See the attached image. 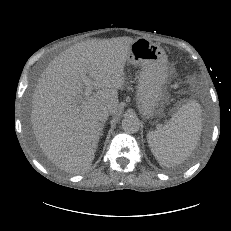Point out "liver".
Here are the masks:
<instances>
[{
  "label": "liver",
  "mask_w": 231,
  "mask_h": 231,
  "mask_svg": "<svg viewBox=\"0 0 231 231\" xmlns=\"http://www.w3.org/2000/svg\"><path fill=\"white\" fill-rule=\"evenodd\" d=\"M134 39L117 37L77 43L53 61L41 75L33 94L31 123L45 156L69 173L90 168L103 124L104 107L119 109L118 89L125 83L124 66ZM82 76L96 90L83 97Z\"/></svg>",
  "instance_id": "obj_1"
}]
</instances>
